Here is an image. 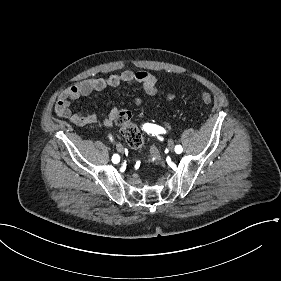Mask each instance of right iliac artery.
Here are the masks:
<instances>
[{
	"mask_svg": "<svg viewBox=\"0 0 281 281\" xmlns=\"http://www.w3.org/2000/svg\"><path fill=\"white\" fill-rule=\"evenodd\" d=\"M119 161H120L119 155H117V154L113 155V157H112V162H113V163H118Z\"/></svg>",
	"mask_w": 281,
	"mask_h": 281,
	"instance_id": "1",
	"label": "right iliac artery"
}]
</instances>
